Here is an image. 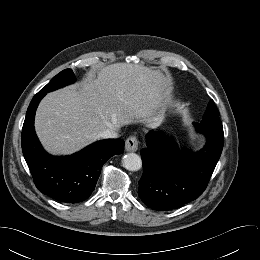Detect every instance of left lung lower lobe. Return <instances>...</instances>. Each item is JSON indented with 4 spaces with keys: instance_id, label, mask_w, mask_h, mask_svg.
<instances>
[{
    "instance_id": "1",
    "label": "left lung lower lobe",
    "mask_w": 260,
    "mask_h": 260,
    "mask_svg": "<svg viewBox=\"0 0 260 260\" xmlns=\"http://www.w3.org/2000/svg\"><path fill=\"white\" fill-rule=\"evenodd\" d=\"M196 129L207 138L205 147L196 153L180 152L161 133L151 131L146 135L138 195L149 208L177 209L205 190L220 158L224 133L223 129L209 126L196 125Z\"/></svg>"
}]
</instances>
